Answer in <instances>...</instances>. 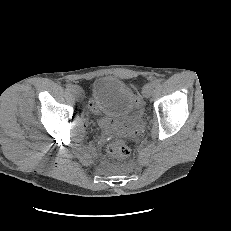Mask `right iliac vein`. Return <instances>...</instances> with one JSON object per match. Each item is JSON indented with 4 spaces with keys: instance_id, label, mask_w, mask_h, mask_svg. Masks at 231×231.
<instances>
[{
    "instance_id": "63e3f726",
    "label": "right iliac vein",
    "mask_w": 231,
    "mask_h": 231,
    "mask_svg": "<svg viewBox=\"0 0 231 231\" xmlns=\"http://www.w3.org/2000/svg\"><path fill=\"white\" fill-rule=\"evenodd\" d=\"M72 93H73V95H74L75 97H77V98L81 97V95H82V89H81V87H79V86H74V87H73V90H72Z\"/></svg>"
}]
</instances>
